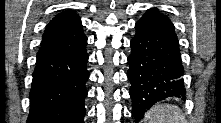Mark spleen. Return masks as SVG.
I'll use <instances>...</instances> for the list:
<instances>
[{
    "mask_svg": "<svg viewBox=\"0 0 221 123\" xmlns=\"http://www.w3.org/2000/svg\"><path fill=\"white\" fill-rule=\"evenodd\" d=\"M144 123H184V115L178 106L157 104L145 114Z\"/></svg>",
    "mask_w": 221,
    "mask_h": 123,
    "instance_id": "spleen-1",
    "label": "spleen"
}]
</instances>
